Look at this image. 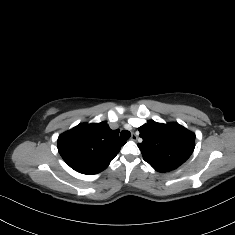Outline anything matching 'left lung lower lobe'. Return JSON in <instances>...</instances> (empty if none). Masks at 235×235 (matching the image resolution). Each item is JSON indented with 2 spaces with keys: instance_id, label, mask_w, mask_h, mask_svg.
<instances>
[{
  "instance_id": "obj_1",
  "label": "left lung lower lobe",
  "mask_w": 235,
  "mask_h": 235,
  "mask_svg": "<svg viewBox=\"0 0 235 235\" xmlns=\"http://www.w3.org/2000/svg\"><path fill=\"white\" fill-rule=\"evenodd\" d=\"M152 167L158 172H169V171L176 169L174 167H170L166 165H152Z\"/></svg>"
}]
</instances>
